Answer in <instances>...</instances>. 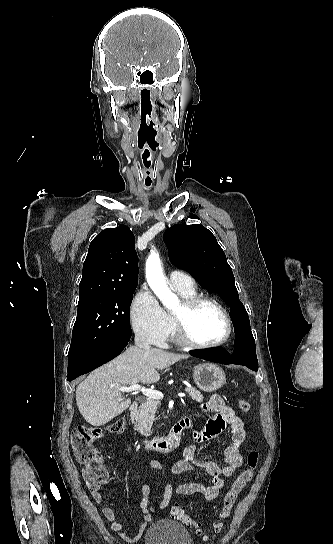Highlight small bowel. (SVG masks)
Instances as JSON below:
<instances>
[{"label": "small bowel", "mask_w": 333, "mask_h": 544, "mask_svg": "<svg viewBox=\"0 0 333 544\" xmlns=\"http://www.w3.org/2000/svg\"><path fill=\"white\" fill-rule=\"evenodd\" d=\"M201 409L211 414L202 429H196L191 419H185V431L191 432L194 443L184 449L183 458L174 462L169 467L164 466L161 462L154 459L149 460L147 465L154 470L160 471L164 476L189 473L195 468H201L212 477L211 484L204 485L197 482H188L175 487L172 483L166 481L162 485V498L155 506L149 505L150 487L144 484L141 488L142 499L140 502L142 522L137 532L133 535L123 531V525L117 520L116 514L110 507H103L102 513L110 523L111 529L119 533L125 541L130 543L137 542L151 521V513L155 509H165L175 496L200 494L207 501L215 500L220 490L224 487V478L231 477L236 469L242 465L243 457L240 454V447L246 438L245 426L242 419L230 406L225 404L222 397L218 394H213L206 403L201 405ZM225 433H229L231 439L224 451V466H220L213 461L200 459L198 456V445ZM91 494L97 503L102 502V494L99 489L91 490Z\"/></svg>", "instance_id": "obj_1"}]
</instances>
